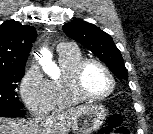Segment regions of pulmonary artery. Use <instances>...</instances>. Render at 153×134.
<instances>
[{
    "label": "pulmonary artery",
    "instance_id": "e3ab8cb5",
    "mask_svg": "<svg viewBox=\"0 0 153 134\" xmlns=\"http://www.w3.org/2000/svg\"><path fill=\"white\" fill-rule=\"evenodd\" d=\"M71 48H74L73 44H71V43H63V44H60L58 46V51L60 52V51L71 49Z\"/></svg>",
    "mask_w": 153,
    "mask_h": 134
}]
</instances>
